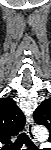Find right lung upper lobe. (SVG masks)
Wrapping results in <instances>:
<instances>
[{
	"label": "right lung upper lobe",
	"mask_w": 51,
	"mask_h": 150,
	"mask_svg": "<svg viewBox=\"0 0 51 150\" xmlns=\"http://www.w3.org/2000/svg\"><path fill=\"white\" fill-rule=\"evenodd\" d=\"M25 117L11 98L0 99V142L10 144L11 136L23 129Z\"/></svg>",
	"instance_id": "1"
}]
</instances>
